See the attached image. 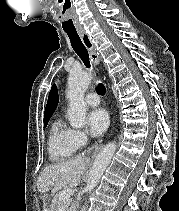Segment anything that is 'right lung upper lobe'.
Here are the masks:
<instances>
[{
    "mask_svg": "<svg viewBox=\"0 0 179 211\" xmlns=\"http://www.w3.org/2000/svg\"><path fill=\"white\" fill-rule=\"evenodd\" d=\"M58 101H59V98H58L57 88L55 85H53L49 94L47 105H46L44 119L50 118L52 116L53 112L55 111L57 107Z\"/></svg>",
    "mask_w": 179,
    "mask_h": 211,
    "instance_id": "cb5924a9",
    "label": "right lung upper lobe"
}]
</instances>
